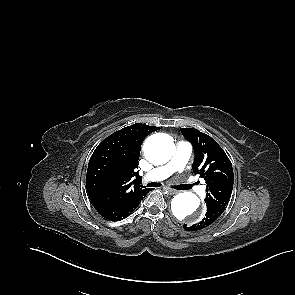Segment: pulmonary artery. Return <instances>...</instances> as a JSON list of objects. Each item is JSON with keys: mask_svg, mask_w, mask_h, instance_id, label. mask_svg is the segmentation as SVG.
<instances>
[{"mask_svg": "<svg viewBox=\"0 0 295 295\" xmlns=\"http://www.w3.org/2000/svg\"><path fill=\"white\" fill-rule=\"evenodd\" d=\"M191 144L185 141H180L177 144L175 153L172 159L165 165L154 168L152 171L144 176L145 180L162 181L172 175L174 172L182 171L188 162L191 154ZM198 194L204 193V187L196 186L195 184H188Z\"/></svg>", "mask_w": 295, "mask_h": 295, "instance_id": "pulmonary-artery-1", "label": "pulmonary artery"}]
</instances>
